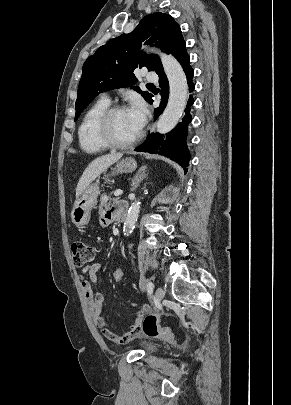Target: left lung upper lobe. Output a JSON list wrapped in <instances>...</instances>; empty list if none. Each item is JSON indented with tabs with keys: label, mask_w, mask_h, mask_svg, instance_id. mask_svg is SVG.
<instances>
[{
	"label": "left lung upper lobe",
	"mask_w": 291,
	"mask_h": 405,
	"mask_svg": "<svg viewBox=\"0 0 291 405\" xmlns=\"http://www.w3.org/2000/svg\"><path fill=\"white\" fill-rule=\"evenodd\" d=\"M183 40L180 26L165 13L145 16L130 34H123L99 47L83 65L82 78L78 86L75 120L87 105L101 92L131 87L137 82L134 70L147 67L156 71L162 67L157 55L138 51L142 43L156 45L171 54ZM134 89L149 102L152 95Z\"/></svg>",
	"instance_id": "obj_1"
}]
</instances>
